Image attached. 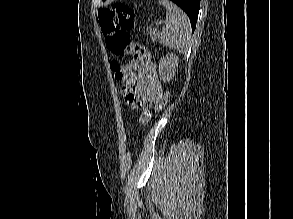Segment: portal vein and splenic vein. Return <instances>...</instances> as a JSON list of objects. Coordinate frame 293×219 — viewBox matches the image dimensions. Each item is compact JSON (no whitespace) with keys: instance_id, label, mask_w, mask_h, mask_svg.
<instances>
[{"instance_id":"portal-vein-and-splenic-vein-1","label":"portal vein and splenic vein","mask_w":293,"mask_h":219,"mask_svg":"<svg viewBox=\"0 0 293 219\" xmlns=\"http://www.w3.org/2000/svg\"><path fill=\"white\" fill-rule=\"evenodd\" d=\"M160 24H161V22H157V23H156V25H160Z\"/></svg>"}]
</instances>
